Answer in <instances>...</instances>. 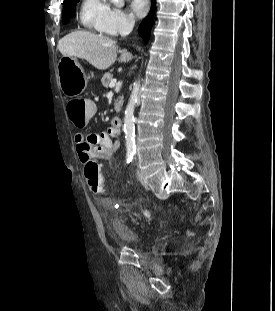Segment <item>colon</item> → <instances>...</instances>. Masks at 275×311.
Returning a JSON list of instances; mask_svg holds the SVG:
<instances>
[{"mask_svg": "<svg viewBox=\"0 0 275 311\" xmlns=\"http://www.w3.org/2000/svg\"><path fill=\"white\" fill-rule=\"evenodd\" d=\"M98 97H78L68 103V113L74 121V129H87L88 121L96 117ZM85 178L89 188L99 193L104 190L101 167L93 161L85 166Z\"/></svg>", "mask_w": 275, "mask_h": 311, "instance_id": "obj_1", "label": "colon"}]
</instances>
